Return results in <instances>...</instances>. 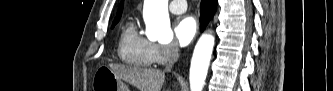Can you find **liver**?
Wrapping results in <instances>:
<instances>
[{
    "instance_id": "6515ba94",
    "label": "liver",
    "mask_w": 333,
    "mask_h": 91,
    "mask_svg": "<svg viewBox=\"0 0 333 91\" xmlns=\"http://www.w3.org/2000/svg\"><path fill=\"white\" fill-rule=\"evenodd\" d=\"M113 73L139 91H161L165 81V73L161 70L138 68L121 64H109Z\"/></svg>"
}]
</instances>
